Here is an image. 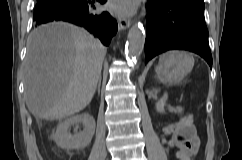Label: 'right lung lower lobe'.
Instances as JSON below:
<instances>
[{"label": "right lung lower lobe", "mask_w": 242, "mask_h": 160, "mask_svg": "<svg viewBox=\"0 0 242 160\" xmlns=\"http://www.w3.org/2000/svg\"><path fill=\"white\" fill-rule=\"evenodd\" d=\"M105 3L106 0H97ZM94 0H45L38 2L33 19L36 25L52 21H66L84 27L106 46L117 32L118 24L109 13H92Z\"/></svg>", "instance_id": "1"}]
</instances>
